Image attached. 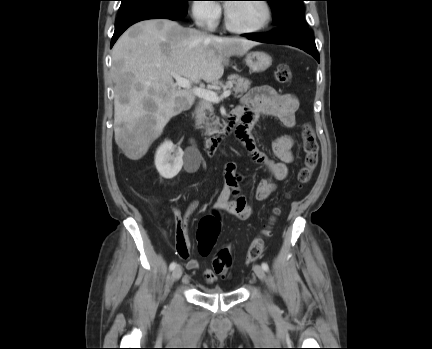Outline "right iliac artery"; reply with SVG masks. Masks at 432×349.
<instances>
[{
	"label": "right iliac artery",
	"mask_w": 432,
	"mask_h": 349,
	"mask_svg": "<svg viewBox=\"0 0 432 349\" xmlns=\"http://www.w3.org/2000/svg\"><path fill=\"white\" fill-rule=\"evenodd\" d=\"M175 267H176V263H175V262H172V263L170 264V266H169V269L172 271V270L175 269Z\"/></svg>",
	"instance_id": "obj_1"
}]
</instances>
